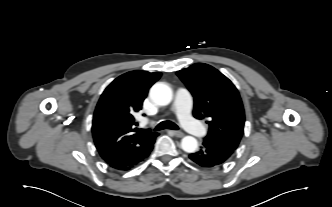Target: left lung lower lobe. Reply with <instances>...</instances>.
Returning <instances> with one entry per match:
<instances>
[{"instance_id":"0a47b994","label":"left lung lower lobe","mask_w":332,"mask_h":207,"mask_svg":"<svg viewBox=\"0 0 332 207\" xmlns=\"http://www.w3.org/2000/svg\"><path fill=\"white\" fill-rule=\"evenodd\" d=\"M233 152V149L205 138L201 149L190 154L189 158L201 167L214 168L227 161Z\"/></svg>"}]
</instances>
